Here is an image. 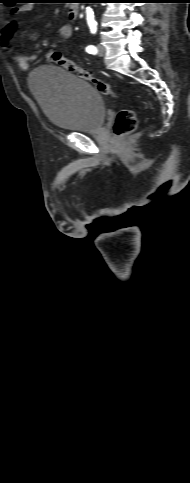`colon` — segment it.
Masks as SVG:
<instances>
[{
	"label": "colon",
	"mask_w": 190,
	"mask_h": 483,
	"mask_svg": "<svg viewBox=\"0 0 190 483\" xmlns=\"http://www.w3.org/2000/svg\"><path fill=\"white\" fill-rule=\"evenodd\" d=\"M48 59L64 68L66 71L75 73L81 79L90 82L101 94L113 98L117 97V94L110 83L95 78L88 70L66 58L61 52L51 51L48 54ZM137 125L138 121L135 111L133 109H122L117 114L113 125V131L117 137H124L134 132Z\"/></svg>",
	"instance_id": "1"
}]
</instances>
